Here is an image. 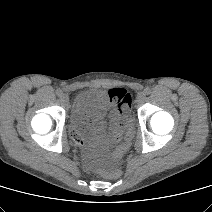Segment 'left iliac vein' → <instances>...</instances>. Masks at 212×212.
Returning a JSON list of instances; mask_svg holds the SVG:
<instances>
[{"label": "left iliac vein", "instance_id": "1", "mask_svg": "<svg viewBox=\"0 0 212 212\" xmlns=\"http://www.w3.org/2000/svg\"><path fill=\"white\" fill-rule=\"evenodd\" d=\"M144 99H145V93H144V92H139V93L137 94V97H136V102H137V104H138V105L142 104L143 101H144Z\"/></svg>", "mask_w": 212, "mask_h": 212}]
</instances>
